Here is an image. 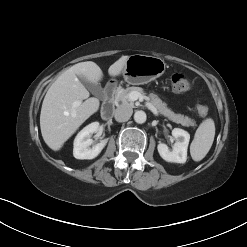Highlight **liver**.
<instances>
[{"label":"liver","instance_id":"1","mask_svg":"<svg viewBox=\"0 0 247 247\" xmlns=\"http://www.w3.org/2000/svg\"><path fill=\"white\" fill-rule=\"evenodd\" d=\"M128 57L122 56L113 63L108 69L109 75L115 77L121 74ZM79 77L98 84L103 78V72L92 61L77 63L57 78L44 97L40 128L45 143L54 151L60 150L76 130L99 109V100L89 98L90 94ZM77 100L85 101L74 107L73 103Z\"/></svg>","mask_w":247,"mask_h":247}]
</instances>
